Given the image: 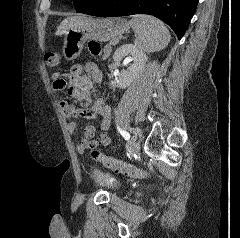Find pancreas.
I'll use <instances>...</instances> for the list:
<instances>
[{
    "instance_id": "pancreas-1",
    "label": "pancreas",
    "mask_w": 240,
    "mask_h": 238,
    "mask_svg": "<svg viewBox=\"0 0 240 238\" xmlns=\"http://www.w3.org/2000/svg\"><path fill=\"white\" fill-rule=\"evenodd\" d=\"M118 39H113L111 40L103 49V56H102V59L105 60L107 58H109L111 52H112V45H115L118 43Z\"/></svg>"
}]
</instances>
